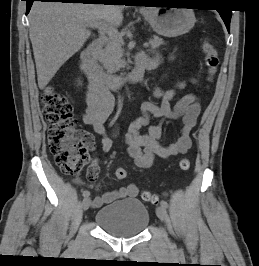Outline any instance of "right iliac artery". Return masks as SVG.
<instances>
[{
    "mask_svg": "<svg viewBox=\"0 0 259 266\" xmlns=\"http://www.w3.org/2000/svg\"><path fill=\"white\" fill-rule=\"evenodd\" d=\"M82 195H83L84 199L88 198L90 195V192L88 190H85V191H83Z\"/></svg>",
    "mask_w": 259,
    "mask_h": 266,
    "instance_id": "obj_1",
    "label": "right iliac artery"
}]
</instances>
